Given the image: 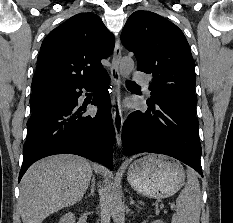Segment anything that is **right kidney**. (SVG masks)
<instances>
[{
	"instance_id": "1",
	"label": "right kidney",
	"mask_w": 233,
	"mask_h": 223,
	"mask_svg": "<svg viewBox=\"0 0 233 223\" xmlns=\"http://www.w3.org/2000/svg\"><path fill=\"white\" fill-rule=\"evenodd\" d=\"M58 223H75V215L74 213H71V211H68V213H65L63 217H61L60 221Z\"/></svg>"
}]
</instances>
